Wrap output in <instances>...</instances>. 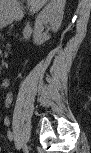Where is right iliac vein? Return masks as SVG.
<instances>
[{"mask_svg": "<svg viewBox=\"0 0 91 153\" xmlns=\"http://www.w3.org/2000/svg\"><path fill=\"white\" fill-rule=\"evenodd\" d=\"M25 153H28V148H25Z\"/></svg>", "mask_w": 91, "mask_h": 153, "instance_id": "1", "label": "right iliac vein"}]
</instances>
